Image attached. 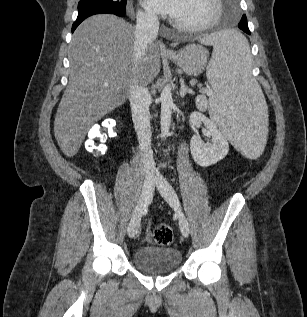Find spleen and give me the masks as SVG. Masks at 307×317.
Returning <instances> with one entry per match:
<instances>
[{
  "label": "spleen",
  "instance_id": "3e777b00",
  "mask_svg": "<svg viewBox=\"0 0 307 317\" xmlns=\"http://www.w3.org/2000/svg\"><path fill=\"white\" fill-rule=\"evenodd\" d=\"M200 44L212 45L206 76L214 92L209 114L245 160L263 155L270 122L261 88L250 73V49L239 29L203 33Z\"/></svg>",
  "mask_w": 307,
  "mask_h": 317
}]
</instances>
